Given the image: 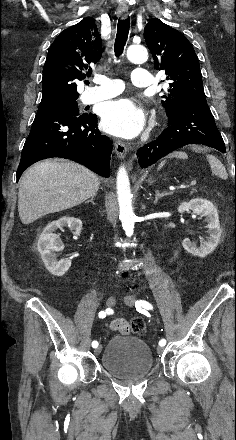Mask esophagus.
Wrapping results in <instances>:
<instances>
[{
  "label": "esophagus",
  "mask_w": 236,
  "mask_h": 440,
  "mask_svg": "<svg viewBox=\"0 0 236 440\" xmlns=\"http://www.w3.org/2000/svg\"><path fill=\"white\" fill-rule=\"evenodd\" d=\"M118 15L121 18H126L128 16V6L126 4L122 3L119 5ZM114 149H115V152L119 158H124L127 154V147L122 142H119V141L115 142ZM128 168L129 169L132 168V160L129 162Z\"/></svg>",
  "instance_id": "34e87169"
}]
</instances>
